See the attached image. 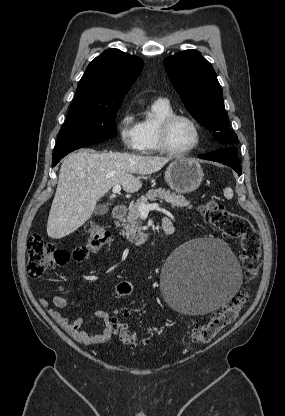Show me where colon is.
Listing matches in <instances>:
<instances>
[{"instance_id": "colon-1", "label": "colon", "mask_w": 285, "mask_h": 416, "mask_svg": "<svg viewBox=\"0 0 285 416\" xmlns=\"http://www.w3.org/2000/svg\"><path fill=\"white\" fill-rule=\"evenodd\" d=\"M200 214L208 224L220 230L223 235L240 242V258L246 281L248 284L255 281L260 268L261 244L259 234L251 222L244 216L228 211L215 200L204 203L200 207ZM85 230L86 243L73 251L58 249L53 244L45 242L38 234L30 235L27 242L28 275L31 278H38L47 270L62 266L70 259L82 260L110 241V232L100 223L89 222ZM132 290V284L124 281L117 285L116 294L126 297L132 293ZM249 299V290L241 289L226 306L213 313L206 323L194 328L190 343L204 344L214 339L237 319ZM125 315L126 311L120 310L111 316L113 330L122 343L133 348L138 347L139 339L122 319Z\"/></svg>"}]
</instances>
